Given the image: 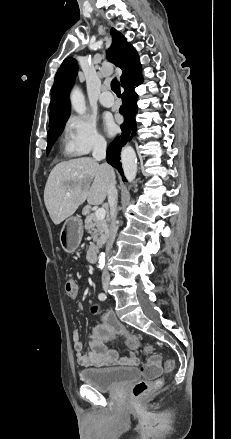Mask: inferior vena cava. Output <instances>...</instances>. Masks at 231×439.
Segmentation results:
<instances>
[{
    "label": "inferior vena cava",
    "instance_id": "inferior-vena-cava-1",
    "mask_svg": "<svg viewBox=\"0 0 231 439\" xmlns=\"http://www.w3.org/2000/svg\"><path fill=\"white\" fill-rule=\"evenodd\" d=\"M106 147H107V144L103 140H98L95 142L92 155L96 161H102L103 159H105ZM105 165L109 166L108 164H105ZM112 173H113V171H112ZM115 184H116V182H115V178L113 176V178L109 182L108 189H107L108 203L110 206V218H111L110 227H109V240H108V245H107V249H106L107 254L109 253V250L112 248V245H113V242H114V239L116 236V232H117L116 216H117L118 194H117ZM102 280L103 281L110 280V275L108 272L107 264H105L104 268H103Z\"/></svg>",
    "mask_w": 231,
    "mask_h": 439
}]
</instances>
